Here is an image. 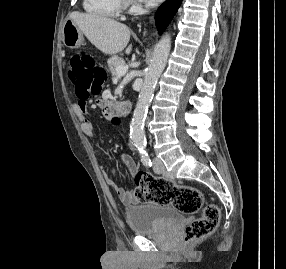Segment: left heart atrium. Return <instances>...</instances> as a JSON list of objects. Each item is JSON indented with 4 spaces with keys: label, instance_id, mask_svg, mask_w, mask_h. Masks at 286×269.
I'll return each instance as SVG.
<instances>
[{
    "label": "left heart atrium",
    "instance_id": "1",
    "mask_svg": "<svg viewBox=\"0 0 286 269\" xmlns=\"http://www.w3.org/2000/svg\"><path fill=\"white\" fill-rule=\"evenodd\" d=\"M147 5H156L158 3H160L163 0H139Z\"/></svg>",
    "mask_w": 286,
    "mask_h": 269
}]
</instances>
